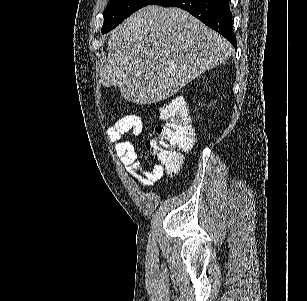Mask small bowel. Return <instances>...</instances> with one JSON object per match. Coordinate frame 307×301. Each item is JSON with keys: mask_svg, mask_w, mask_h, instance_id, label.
<instances>
[{"mask_svg": "<svg viewBox=\"0 0 307 301\" xmlns=\"http://www.w3.org/2000/svg\"><path fill=\"white\" fill-rule=\"evenodd\" d=\"M143 130V122L139 116H128L117 121L108 128V139L114 144V151L120 158L122 165L128 170L130 175L143 187H150L162 178L163 169L160 165H155L148 170L143 167L138 159L133 143L124 139L127 133L138 136Z\"/></svg>", "mask_w": 307, "mask_h": 301, "instance_id": "c3829d8e", "label": "small bowel"}]
</instances>
